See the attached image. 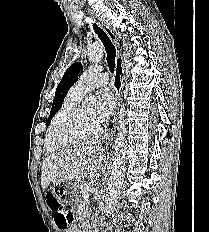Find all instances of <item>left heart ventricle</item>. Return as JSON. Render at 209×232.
Returning <instances> with one entry per match:
<instances>
[{"mask_svg": "<svg viewBox=\"0 0 209 232\" xmlns=\"http://www.w3.org/2000/svg\"><path fill=\"white\" fill-rule=\"evenodd\" d=\"M98 126L95 111L92 108L85 107L73 128L76 131L87 133L94 131Z\"/></svg>", "mask_w": 209, "mask_h": 232, "instance_id": "b2bd125f", "label": "left heart ventricle"}]
</instances>
